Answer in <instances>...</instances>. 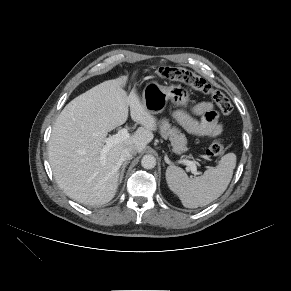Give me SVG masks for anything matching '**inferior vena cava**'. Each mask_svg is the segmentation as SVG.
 Instances as JSON below:
<instances>
[{"instance_id": "602c4592", "label": "inferior vena cava", "mask_w": 291, "mask_h": 291, "mask_svg": "<svg viewBox=\"0 0 291 291\" xmlns=\"http://www.w3.org/2000/svg\"><path fill=\"white\" fill-rule=\"evenodd\" d=\"M136 154H137V150L135 147L130 146V147L124 148L121 151L120 160L121 161L130 160Z\"/></svg>"}]
</instances>
